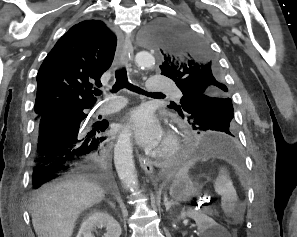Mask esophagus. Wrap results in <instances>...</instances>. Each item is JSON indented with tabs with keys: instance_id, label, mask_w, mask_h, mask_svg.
Here are the masks:
<instances>
[{
	"instance_id": "esophagus-1",
	"label": "esophagus",
	"mask_w": 297,
	"mask_h": 237,
	"mask_svg": "<svg viewBox=\"0 0 297 237\" xmlns=\"http://www.w3.org/2000/svg\"><path fill=\"white\" fill-rule=\"evenodd\" d=\"M132 58H133V46H132L131 40L127 38L123 45L120 62L122 65H129ZM140 165L146 174H151L153 172V164L149 159L140 157Z\"/></svg>"
}]
</instances>
